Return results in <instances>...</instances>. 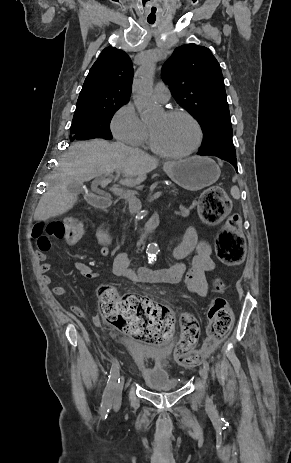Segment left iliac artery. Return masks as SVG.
<instances>
[{"label":"left iliac artery","mask_w":291,"mask_h":463,"mask_svg":"<svg viewBox=\"0 0 291 463\" xmlns=\"http://www.w3.org/2000/svg\"><path fill=\"white\" fill-rule=\"evenodd\" d=\"M203 366H204L207 370H209V363H208L207 361L204 362Z\"/></svg>","instance_id":"left-iliac-artery-1"}]
</instances>
